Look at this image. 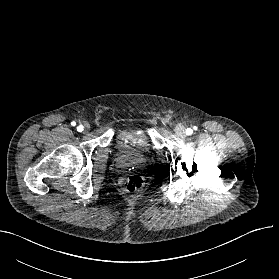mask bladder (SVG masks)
Here are the masks:
<instances>
[{
  "instance_id": "1",
  "label": "bladder",
  "mask_w": 279,
  "mask_h": 279,
  "mask_svg": "<svg viewBox=\"0 0 279 279\" xmlns=\"http://www.w3.org/2000/svg\"><path fill=\"white\" fill-rule=\"evenodd\" d=\"M134 144H136L141 150H149V142L145 135H137L134 138ZM141 158L140 153L127 154L124 156V161L128 163H137Z\"/></svg>"
}]
</instances>
